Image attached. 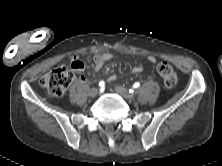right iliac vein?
Masks as SVG:
<instances>
[{"label":"right iliac vein","mask_w":222,"mask_h":166,"mask_svg":"<svg viewBox=\"0 0 222 166\" xmlns=\"http://www.w3.org/2000/svg\"><path fill=\"white\" fill-rule=\"evenodd\" d=\"M97 94H98V89H97V88H92V89H90L89 95H90L91 97H95V96H97Z\"/></svg>","instance_id":"right-iliac-vein-1"}]
</instances>
